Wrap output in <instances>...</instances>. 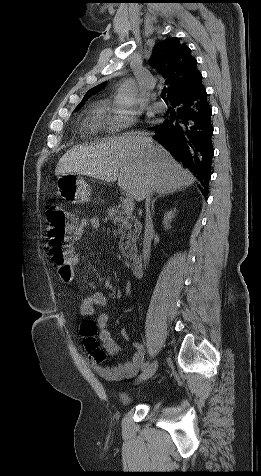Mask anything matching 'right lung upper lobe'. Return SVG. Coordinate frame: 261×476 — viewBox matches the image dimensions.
Masks as SVG:
<instances>
[{"mask_svg": "<svg viewBox=\"0 0 261 476\" xmlns=\"http://www.w3.org/2000/svg\"><path fill=\"white\" fill-rule=\"evenodd\" d=\"M149 62L150 66L166 79L167 97L170 101L192 91L202 77L196 67L197 61L191 55V50L178 38H167L158 42L153 48ZM103 86L104 83L91 88L77 107L82 106Z\"/></svg>", "mask_w": 261, "mask_h": 476, "instance_id": "cb5924a9", "label": "right lung upper lobe"}]
</instances>
